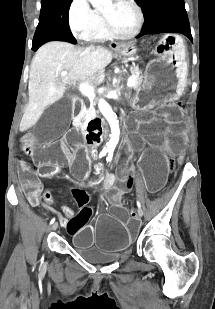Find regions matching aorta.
<instances>
[{
    "label": "aorta",
    "mask_w": 215,
    "mask_h": 309,
    "mask_svg": "<svg viewBox=\"0 0 215 309\" xmlns=\"http://www.w3.org/2000/svg\"><path fill=\"white\" fill-rule=\"evenodd\" d=\"M90 2L92 6H94V8H98V10H100V8H109V6L112 4V0H90ZM98 108L111 126L112 136L109 142H107V148H115L116 144H118L120 136V128L117 116L114 110H112L109 102H106L105 98H99Z\"/></svg>",
    "instance_id": "obj_1"
}]
</instances>
